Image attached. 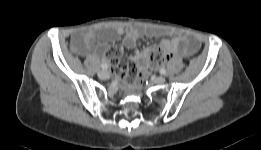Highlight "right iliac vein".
Returning a JSON list of instances; mask_svg holds the SVG:
<instances>
[{
  "instance_id": "right-iliac-vein-1",
  "label": "right iliac vein",
  "mask_w": 261,
  "mask_h": 150,
  "mask_svg": "<svg viewBox=\"0 0 261 150\" xmlns=\"http://www.w3.org/2000/svg\"><path fill=\"white\" fill-rule=\"evenodd\" d=\"M98 77L100 79L105 80V79H108L110 77V73L106 70H103V71L98 72Z\"/></svg>"
}]
</instances>
